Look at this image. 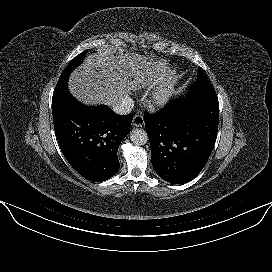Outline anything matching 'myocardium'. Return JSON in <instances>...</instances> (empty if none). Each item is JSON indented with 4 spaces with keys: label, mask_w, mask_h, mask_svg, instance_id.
<instances>
[{
    "label": "myocardium",
    "mask_w": 272,
    "mask_h": 272,
    "mask_svg": "<svg viewBox=\"0 0 272 272\" xmlns=\"http://www.w3.org/2000/svg\"><path fill=\"white\" fill-rule=\"evenodd\" d=\"M174 84H175V74L170 73L150 93L149 104L156 107H163L167 105L172 99Z\"/></svg>",
    "instance_id": "f54148a6"
}]
</instances>
